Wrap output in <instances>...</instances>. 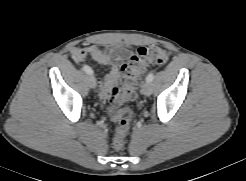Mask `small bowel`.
Wrapping results in <instances>:
<instances>
[{"label":"small bowel","mask_w":246,"mask_h":181,"mask_svg":"<svg viewBox=\"0 0 246 181\" xmlns=\"http://www.w3.org/2000/svg\"><path fill=\"white\" fill-rule=\"evenodd\" d=\"M129 54L128 49L118 46H76L71 50V57L76 62H82L87 57H91L96 63L108 67V73L103 78L97 80L95 84L102 102H106L110 90L118 85L121 79V64Z\"/></svg>","instance_id":"1"}]
</instances>
